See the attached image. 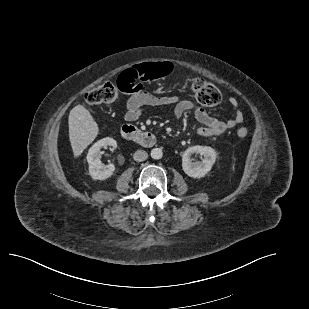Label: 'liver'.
<instances>
[{"instance_id": "1", "label": "liver", "mask_w": 309, "mask_h": 309, "mask_svg": "<svg viewBox=\"0 0 309 309\" xmlns=\"http://www.w3.org/2000/svg\"><path fill=\"white\" fill-rule=\"evenodd\" d=\"M69 140L74 157H79L99 133L96 121L82 105L75 106L69 113Z\"/></svg>"}]
</instances>
